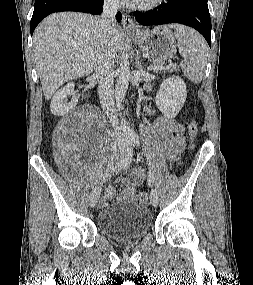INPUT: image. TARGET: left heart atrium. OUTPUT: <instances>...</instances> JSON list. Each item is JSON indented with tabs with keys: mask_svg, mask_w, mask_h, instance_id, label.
Here are the masks:
<instances>
[{
	"mask_svg": "<svg viewBox=\"0 0 253 285\" xmlns=\"http://www.w3.org/2000/svg\"><path fill=\"white\" fill-rule=\"evenodd\" d=\"M126 1H133V2H136V1H138V0H126Z\"/></svg>",
	"mask_w": 253,
	"mask_h": 285,
	"instance_id": "39dd6f15",
	"label": "left heart atrium"
}]
</instances>
